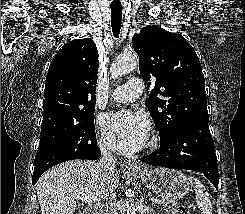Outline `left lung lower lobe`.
<instances>
[{
  "label": "left lung lower lobe",
  "mask_w": 245,
  "mask_h": 214,
  "mask_svg": "<svg viewBox=\"0 0 245 214\" xmlns=\"http://www.w3.org/2000/svg\"><path fill=\"white\" fill-rule=\"evenodd\" d=\"M149 165L187 169L203 173L218 189V165L214 142L207 123H194L160 149L141 158Z\"/></svg>",
  "instance_id": "1"
}]
</instances>
